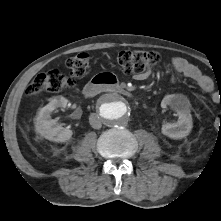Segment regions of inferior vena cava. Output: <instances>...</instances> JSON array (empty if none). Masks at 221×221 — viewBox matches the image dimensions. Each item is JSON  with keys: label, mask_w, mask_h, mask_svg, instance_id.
I'll use <instances>...</instances> for the list:
<instances>
[{"label": "inferior vena cava", "mask_w": 221, "mask_h": 221, "mask_svg": "<svg viewBox=\"0 0 221 221\" xmlns=\"http://www.w3.org/2000/svg\"><path fill=\"white\" fill-rule=\"evenodd\" d=\"M89 123L94 129H100L102 127L101 118L96 113H92L89 116Z\"/></svg>", "instance_id": "602c4592"}]
</instances>
